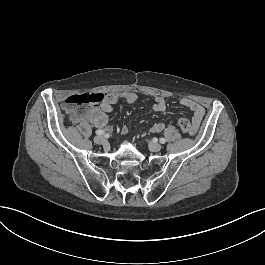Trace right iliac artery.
Here are the masks:
<instances>
[{
    "instance_id": "obj_1",
    "label": "right iliac artery",
    "mask_w": 265,
    "mask_h": 265,
    "mask_svg": "<svg viewBox=\"0 0 265 265\" xmlns=\"http://www.w3.org/2000/svg\"><path fill=\"white\" fill-rule=\"evenodd\" d=\"M95 133H96L97 135H103V134H104V131H103V130H97Z\"/></svg>"
}]
</instances>
